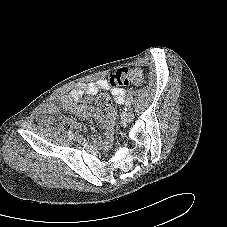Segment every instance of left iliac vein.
Masks as SVG:
<instances>
[{"mask_svg":"<svg viewBox=\"0 0 227 227\" xmlns=\"http://www.w3.org/2000/svg\"><path fill=\"white\" fill-rule=\"evenodd\" d=\"M133 119H134V113L131 110L127 111L123 116V120L125 122H131Z\"/></svg>","mask_w":227,"mask_h":227,"instance_id":"1","label":"left iliac vein"}]
</instances>
